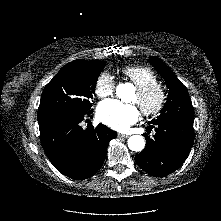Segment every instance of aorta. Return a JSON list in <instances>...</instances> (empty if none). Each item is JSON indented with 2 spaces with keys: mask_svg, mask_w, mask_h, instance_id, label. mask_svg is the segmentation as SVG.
Instances as JSON below:
<instances>
[{
  "mask_svg": "<svg viewBox=\"0 0 221 221\" xmlns=\"http://www.w3.org/2000/svg\"><path fill=\"white\" fill-rule=\"evenodd\" d=\"M132 92L133 85L130 83H121L116 87V94L120 98H123L124 94ZM128 147L135 152L142 151L145 147V140L141 135H133L128 139Z\"/></svg>",
  "mask_w": 221,
  "mask_h": 221,
  "instance_id": "aorta-1",
  "label": "aorta"
}]
</instances>
